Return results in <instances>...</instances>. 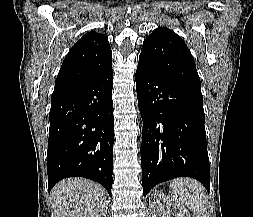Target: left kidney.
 Wrapping results in <instances>:
<instances>
[{
	"mask_svg": "<svg viewBox=\"0 0 253 217\" xmlns=\"http://www.w3.org/2000/svg\"><path fill=\"white\" fill-rule=\"evenodd\" d=\"M151 201L154 212L152 217H170V214L173 217H191L184 206L176 204L161 191H155Z\"/></svg>",
	"mask_w": 253,
	"mask_h": 217,
	"instance_id": "5707ae66",
	"label": "left kidney"
}]
</instances>
